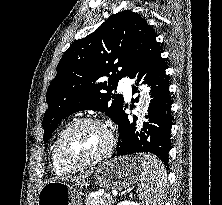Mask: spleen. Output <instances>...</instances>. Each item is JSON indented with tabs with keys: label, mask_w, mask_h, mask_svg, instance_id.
Segmentation results:
<instances>
[{
	"label": "spleen",
	"mask_w": 222,
	"mask_h": 205,
	"mask_svg": "<svg viewBox=\"0 0 222 205\" xmlns=\"http://www.w3.org/2000/svg\"><path fill=\"white\" fill-rule=\"evenodd\" d=\"M140 198L146 205H162L167 183L166 170L162 162L150 154L141 158Z\"/></svg>",
	"instance_id": "spleen-1"
}]
</instances>
